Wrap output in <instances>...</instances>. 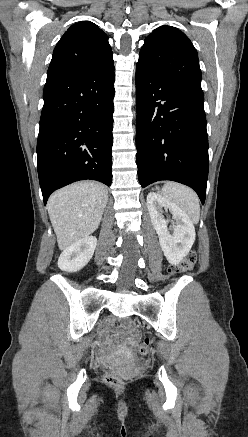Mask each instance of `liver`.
<instances>
[{
  "label": "liver",
  "instance_id": "obj_1",
  "mask_svg": "<svg viewBox=\"0 0 248 437\" xmlns=\"http://www.w3.org/2000/svg\"><path fill=\"white\" fill-rule=\"evenodd\" d=\"M107 201L106 187L91 181L71 184L50 196L47 209L60 250L98 228Z\"/></svg>",
  "mask_w": 248,
  "mask_h": 437
}]
</instances>
